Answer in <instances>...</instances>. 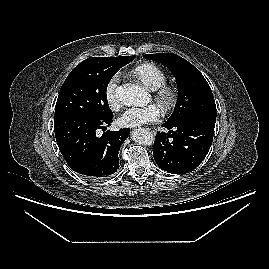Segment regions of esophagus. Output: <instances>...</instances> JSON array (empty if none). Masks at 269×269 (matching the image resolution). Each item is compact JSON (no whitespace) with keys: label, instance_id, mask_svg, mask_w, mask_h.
Returning a JSON list of instances; mask_svg holds the SVG:
<instances>
[{"label":"esophagus","instance_id":"esophagus-1","mask_svg":"<svg viewBox=\"0 0 269 269\" xmlns=\"http://www.w3.org/2000/svg\"><path fill=\"white\" fill-rule=\"evenodd\" d=\"M151 133H155V130L152 128H147Z\"/></svg>","mask_w":269,"mask_h":269}]
</instances>
